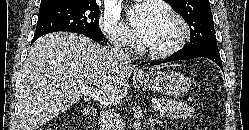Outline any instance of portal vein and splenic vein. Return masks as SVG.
<instances>
[{"mask_svg":"<svg viewBox=\"0 0 249 130\" xmlns=\"http://www.w3.org/2000/svg\"><path fill=\"white\" fill-rule=\"evenodd\" d=\"M79 92L81 94H84L85 96H89L95 100H98L101 104H105L104 103L105 98L103 96H101V93L98 90H95V89L90 88V87L80 86ZM161 108H162V104H160V103H157L156 105H154L155 111H159V110H161Z\"/></svg>","mask_w":249,"mask_h":130,"instance_id":"obj_1","label":"portal vein and splenic vein"}]
</instances>
